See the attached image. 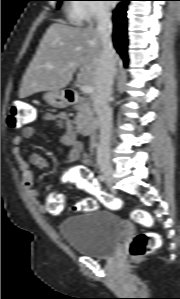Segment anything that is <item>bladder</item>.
Instances as JSON below:
<instances>
[{
    "instance_id": "bladder-1",
    "label": "bladder",
    "mask_w": 180,
    "mask_h": 299,
    "mask_svg": "<svg viewBox=\"0 0 180 299\" xmlns=\"http://www.w3.org/2000/svg\"><path fill=\"white\" fill-rule=\"evenodd\" d=\"M59 231L74 251L93 258L114 254L125 235V224L109 209H94L63 220Z\"/></svg>"
}]
</instances>
